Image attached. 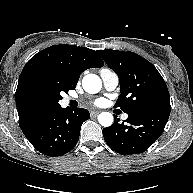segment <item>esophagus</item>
<instances>
[{
  "instance_id": "1",
  "label": "esophagus",
  "mask_w": 193,
  "mask_h": 193,
  "mask_svg": "<svg viewBox=\"0 0 193 193\" xmlns=\"http://www.w3.org/2000/svg\"><path fill=\"white\" fill-rule=\"evenodd\" d=\"M99 113H100V111H98V110H96V111H91V112H90V115H91L92 117H96Z\"/></svg>"
}]
</instances>
